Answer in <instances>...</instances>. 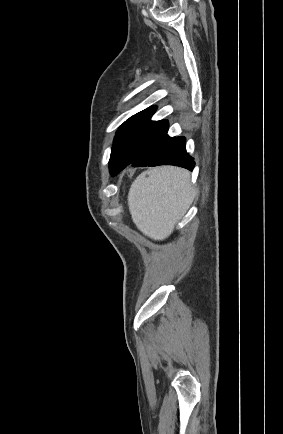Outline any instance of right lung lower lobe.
<instances>
[{"label": "right lung lower lobe", "instance_id": "98d812e1", "mask_svg": "<svg viewBox=\"0 0 283 434\" xmlns=\"http://www.w3.org/2000/svg\"><path fill=\"white\" fill-rule=\"evenodd\" d=\"M185 144V137H169L166 133L133 162L132 166L176 165L192 171L195 162L186 152Z\"/></svg>", "mask_w": 283, "mask_h": 434}]
</instances>
